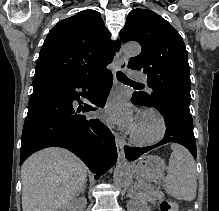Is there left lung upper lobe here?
Instances as JSON below:
<instances>
[{
  "mask_svg": "<svg viewBox=\"0 0 219 211\" xmlns=\"http://www.w3.org/2000/svg\"><path fill=\"white\" fill-rule=\"evenodd\" d=\"M120 38L141 45V53L130 59L128 67L147 74L152 91L138 92L139 98L162 112L191 116L187 50L177 30L155 12L138 8L129 13Z\"/></svg>",
  "mask_w": 219,
  "mask_h": 211,
  "instance_id": "obj_1",
  "label": "left lung upper lobe"
}]
</instances>
